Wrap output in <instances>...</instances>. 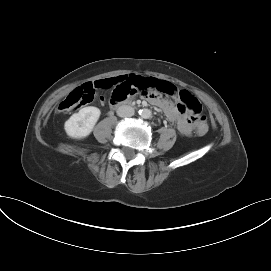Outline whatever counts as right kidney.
I'll return each instance as SVG.
<instances>
[{
    "label": "right kidney",
    "mask_w": 271,
    "mask_h": 271,
    "mask_svg": "<svg viewBox=\"0 0 271 271\" xmlns=\"http://www.w3.org/2000/svg\"><path fill=\"white\" fill-rule=\"evenodd\" d=\"M100 114L101 112L97 107L82 108L65 122L64 129L67 135L75 139L87 137L92 132Z\"/></svg>",
    "instance_id": "ca27d5eb"
}]
</instances>
